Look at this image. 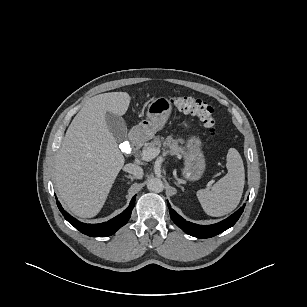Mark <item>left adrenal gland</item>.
I'll return each instance as SVG.
<instances>
[{"label": "left adrenal gland", "instance_id": "obj_1", "mask_svg": "<svg viewBox=\"0 0 307 307\" xmlns=\"http://www.w3.org/2000/svg\"><path fill=\"white\" fill-rule=\"evenodd\" d=\"M175 184L184 191V188L182 186H180V184L178 182L175 181Z\"/></svg>", "mask_w": 307, "mask_h": 307}]
</instances>
